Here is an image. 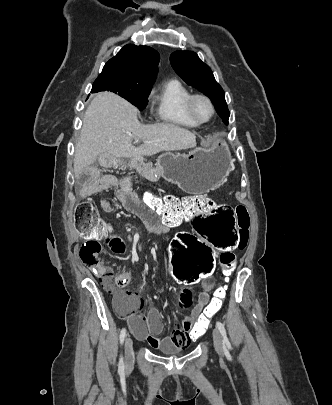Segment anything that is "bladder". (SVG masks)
<instances>
[{"instance_id":"1","label":"bladder","mask_w":332,"mask_h":405,"mask_svg":"<svg viewBox=\"0 0 332 405\" xmlns=\"http://www.w3.org/2000/svg\"><path fill=\"white\" fill-rule=\"evenodd\" d=\"M162 353L167 354V355H178L181 353V349L179 348H171L165 351H162Z\"/></svg>"}]
</instances>
